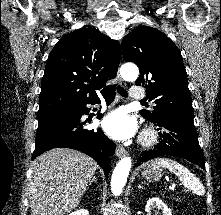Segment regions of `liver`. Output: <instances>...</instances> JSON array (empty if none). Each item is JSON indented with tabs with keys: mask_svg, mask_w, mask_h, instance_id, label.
Returning <instances> with one entry per match:
<instances>
[{
	"mask_svg": "<svg viewBox=\"0 0 221 215\" xmlns=\"http://www.w3.org/2000/svg\"><path fill=\"white\" fill-rule=\"evenodd\" d=\"M97 163L86 154L54 148L32 163L29 200L32 215H65L80 203Z\"/></svg>",
	"mask_w": 221,
	"mask_h": 215,
	"instance_id": "1",
	"label": "liver"
}]
</instances>
